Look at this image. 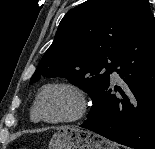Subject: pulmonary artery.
<instances>
[{
    "label": "pulmonary artery",
    "mask_w": 155,
    "mask_h": 149,
    "mask_svg": "<svg viewBox=\"0 0 155 149\" xmlns=\"http://www.w3.org/2000/svg\"><path fill=\"white\" fill-rule=\"evenodd\" d=\"M111 77H112L113 80H118L119 79V76H118L116 71L112 72Z\"/></svg>",
    "instance_id": "e3ab8cb5"
}]
</instances>
